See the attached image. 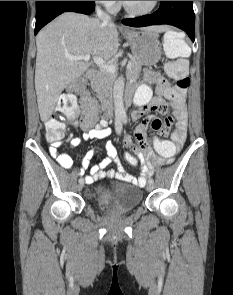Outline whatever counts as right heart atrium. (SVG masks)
<instances>
[{
  "label": "right heart atrium",
  "instance_id": "d8ad5b80",
  "mask_svg": "<svg viewBox=\"0 0 233 295\" xmlns=\"http://www.w3.org/2000/svg\"><path fill=\"white\" fill-rule=\"evenodd\" d=\"M98 4L102 5L108 10H114L117 8L118 1H95Z\"/></svg>",
  "mask_w": 233,
  "mask_h": 295
}]
</instances>
